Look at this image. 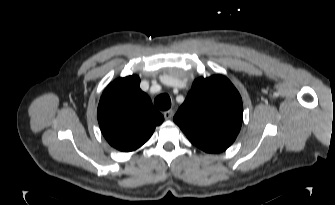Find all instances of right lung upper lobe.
<instances>
[{
  "mask_svg": "<svg viewBox=\"0 0 335 205\" xmlns=\"http://www.w3.org/2000/svg\"><path fill=\"white\" fill-rule=\"evenodd\" d=\"M101 131L114 148L131 152L141 147L164 117L140 89L136 75L119 78L104 90L97 110Z\"/></svg>",
  "mask_w": 335,
  "mask_h": 205,
  "instance_id": "obj_1",
  "label": "right lung upper lobe"
}]
</instances>
